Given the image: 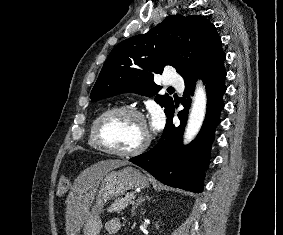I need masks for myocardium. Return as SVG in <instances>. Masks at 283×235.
<instances>
[{
    "instance_id": "obj_1",
    "label": "myocardium",
    "mask_w": 283,
    "mask_h": 235,
    "mask_svg": "<svg viewBox=\"0 0 283 235\" xmlns=\"http://www.w3.org/2000/svg\"><path fill=\"white\" fill-rule=\"evenodd\" d=\"M120 115L135 116L143 123V125L146 128V135H145L144 140L142 141V143L138 147H136L132 150H128V151L116 150V149L108 146L102 138V129H103L104 124L108 120H110L114 117L120 116ZM93 139H94L96 146L101 151H103V152H105L109 155L118 156V157H134V156L140 155L149 147L150 142H151V136H150V133L148 131L144 115L138 109H136L134 107H127V106L114 107V108H111V109L105 111L97 119V121H96V123L93 127Z\"/></svg>"
}]
</instances>
